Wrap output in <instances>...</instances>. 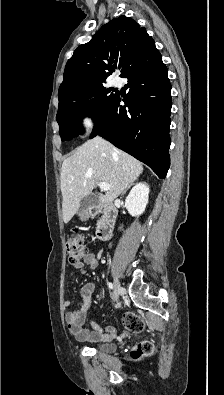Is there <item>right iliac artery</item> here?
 <instances>
[{"mask_svg": "<svg viewBox=\"0 0 224 395\" xmlns=\"http://www.w3.org/2000/svg\"><path fill=\"white\" fill-rule=\"evenodd\" d=\"M108 287H109L111 290L114 289V286H113V284H112L111 282H108Z\"/></svg>", "mask_w": 224, "mask_h": 395, "instance_id": "1", "label": "right iliac artery"}]
</instances>
